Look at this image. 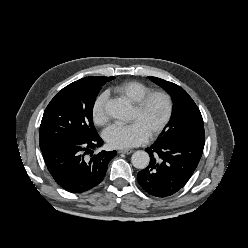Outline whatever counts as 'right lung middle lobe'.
Segmentation results:
<instances>
[{
	"instance_id": "1",
	"label": "right lung middle lobe",
	"mask_w": 248,
	"mask_h": 248,
	"mask_svg": "<svg viewBox=\"0 0 248 248\" xmlns=\"http://www.w3.org/2000/svg\"><path fill=\"white\" fill-rule=\"evenodd\" d=\"M102 86L73 82L51 100L40 125V149L62 138L98 134L93 125L92 110Z\"/></svg>"
}]
</instances>
